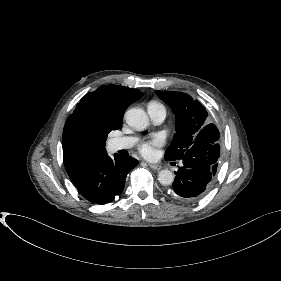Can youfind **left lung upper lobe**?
<instances>
[{
  "label": "left lung upper lobe",
  "instance_id": "1",
  "mask_svg": "<svg viewBox=\"0 0 281 281\" xmlns=\"http://www.w3.org/2000/svg\"><path fill=\"white\" fill-rule=\"evenodd\" d=\"M175 114L176 133L165 152V159H182L194 145L218 143L220 134L213 123L207 121L206 109L183 92L155 91Z\"/></svg>",
  "mask_w": 281,
  "mask_h": 281
}]
</instances>
